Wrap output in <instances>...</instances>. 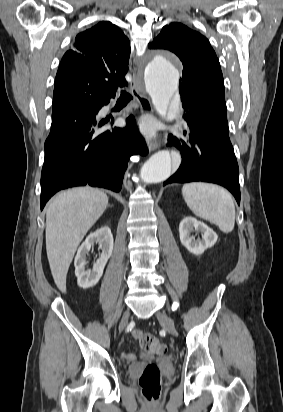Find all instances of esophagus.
Instances as JSON below:
<instances>
[{
  "instance_id": "1",
  "label": "esophagus",
  "mask_w": 283,
  "mask_h": 412,
  "mask_svg": "<svg viewBox=\"0 0 283 412\" xmlns=\"http://www.w3.org/2000/svg\"><path fill=\"white\" fill-rule=\"evenodd\" d=\"M132 94L137 101L141 113L146 114L152 112V104L150 98L147 96L144 87L139 85V81L136 73H133V80L131 82ZM159 142L155 140H150L148 142L149 151H153L158 148Z\"/></svg>"
}]
</instances>
